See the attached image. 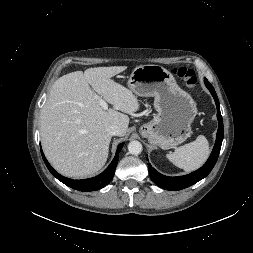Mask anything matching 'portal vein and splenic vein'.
Listing matches in <instances>:
<instances>
[{
	"instance_id": "portal-vein-and-splenic-vein-1",
	"label": "portal vein and splenic vein",
	"mask_w": 253,
	"mask_h": 253,
	"mask_svg": "<svg viewBox=\"0 0 253 253\" xmlns=\"http://www.w3.org/2000/svg\"><path fill=\"white\" fill-rule=\"evenodd\" d=\"M94 97H95V99L98 100L100 106H101L104 110H107V109H108V104H107V102H106L104 99H102L99 95H95Z\"/></svg>"
}]
</instances>
